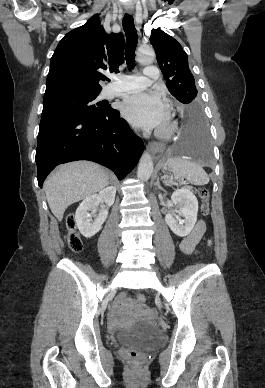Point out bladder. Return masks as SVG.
<instances>
[{
    "label": "bladder",
    "instance_id": "obj_1",
    "mask_svg": "<svg viewBox=\"0 0 265 388\" xmlns=\"http://www.w3.org/2000/svg\"><path fill=\"white\" fill-rule=\"evenodd\" d=\"M157 332L154 326L138 325L125 329L118 333V341L121 344H130L136 346H148L150 337L156 336Z\"/></svg>",
    "mask_w": 265,
    "mask_h": 388
}]
</instances>
